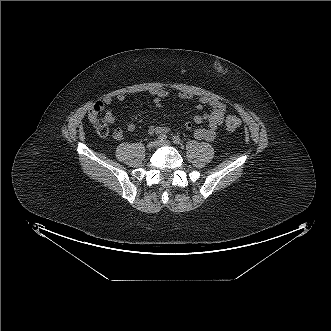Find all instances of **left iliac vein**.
Returning <instances> with one entry per match:
<instances>
[{
	"instance_id": "4c4485c4",
	"label": "left iliac vein",
	"mask_w": 331,
	"mask_h": 331,
	"mask_svg": "<svg viewBox=\"0 0 331 331\" xmlns=\"http://www.w3.org/2000/svg\"><path fill=\"white\" fill-rule=\"evenodd\" d=\"M159 145H166V146H168V145H170V141L166 140L164 142H160Z\"/></svg>"
}]
</instances>
